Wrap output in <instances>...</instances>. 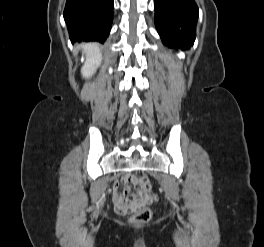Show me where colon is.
Listing matches in <instances>:
<instances>
[{
  "label": "colon",
  "instance_id": "5ec220e1",
  "mask_svg": "<svg viewBox=\"0 0 264 247\" xmlns=\"http://www.w3.org/2000/svg\"><path fill=\"white\" fill-rule=\"evenodd\" d=\"M131 182L135 189L139 192H144L146 197L140 198L137 196H129L119 202L118 209L124 214L131 215V222L144 224L149 222L152 213L147 203L153 200L151 183L146 176H133Z\"/></svg>",
  "mask_w": 264,
  "mask_h": 247
}]
</instances>
